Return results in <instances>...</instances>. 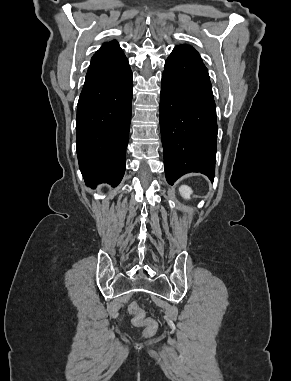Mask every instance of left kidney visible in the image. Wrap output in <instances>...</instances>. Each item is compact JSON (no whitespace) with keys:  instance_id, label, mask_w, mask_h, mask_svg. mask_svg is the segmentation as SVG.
<instances>
[{"instance_id":"left-kidney-1","label":"left kidney","mask_w":291,"mask_h":381,"mask_svg":"<svg viewBox=\"0 0 291 381\" xmlns=\"http://www.w3.org/2000/svg\"><path fill=\"white\" fill-rule=\"evenodd\" d=\"M181 196L185 199H190V195L193 193L192 189L187 185H181L179 188Z\"/></svg>"}]
</instances>
